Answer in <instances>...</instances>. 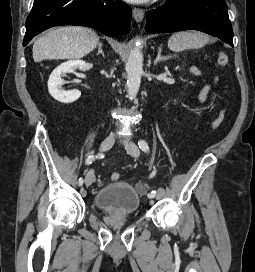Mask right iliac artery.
Returning <instances> with one entry per match:
<instances>
[{
  "instance_id": "1",
  "label": "right iliac artery",
  "mask_w": 255,
  "mask_h": 272,
  "mask_svg": "<svg viewBox=\"0 0 255 272\" xmlns=\"http://www.w3.org/2000/svg\"><path fill=\"white\" fill-rule=\"evenodd\" d=\"M104 156H103V154H97V155H93V154H91V155H89L88 157H87V159H86V161H85V164L86 165H89V164H91L95 159H97V158H103ZM83 184V179L82 178H80L79 180H78V185L79 186H81Z\"/></svg>"
}]
</instances>
